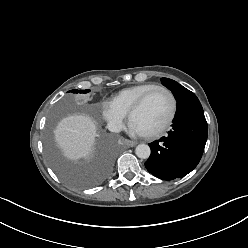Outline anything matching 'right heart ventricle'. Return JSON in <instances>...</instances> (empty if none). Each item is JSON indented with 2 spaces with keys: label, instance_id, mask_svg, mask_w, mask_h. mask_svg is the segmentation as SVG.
<instances>
[{
  "label": "right heart ventricle",
  "instance_id": "right-heart-ventricle-1",
  "mask_svg": "<svg viewBox=\"0 0 248 248\" xmlns=\"http://www.w3.org/2000/svg\"><path fill=\"white\" fill-rule=\"evenodd\" d=\"M157 86L153 83H144L124 88L113 96L111 102L123 113L128 114L131 107L144 93Z\"/></svg>",
  "mask_w": 248,
  "mask_h": 248
}]
</instances>
